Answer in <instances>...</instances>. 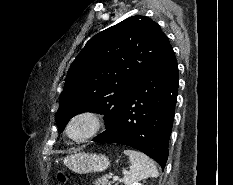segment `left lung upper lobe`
I'll return each instance as SVG.
<instances>
[{"mask_svg":"<svg viewBox=\"0 0 233 185\" xmlns=\"http://www.w3.org/2000/svg\"><path fill=\"white\" fill-rule=\"evenodd\" d=\"M168 44L160 26L145 16L129 17L93 36L67 73L56 116L60 131L86 111L103 114L106 128L112 126Z\"/></svg>","mask_w":233,"mask_h":185,"instance_id":"left-lung-upper-lobe-1","label":"left lung upper lobe"}]
</instances>
